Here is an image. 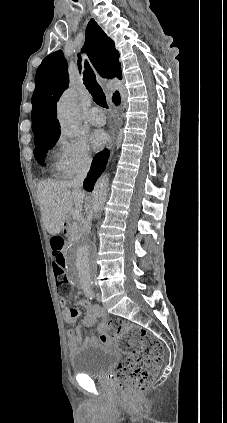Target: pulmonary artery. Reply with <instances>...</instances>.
<instances>
[{
	"mask_svg": "<svg viewBox=\"0 0 227 423\" xmlns=\"http://www.w3.org/2000/svg\"><path fill=\"white\" fill-rule=\"evenodd\" d=\"M87 121L96 127H102L106 123V116L101 108L93 107L86 114Z\"/></svg>",
	"mask_w": 227,
	"mask_h": 423,
	"instance_id": "e3ab8cb5",
	"label": "pulmonary artery"
}]
</instances>
